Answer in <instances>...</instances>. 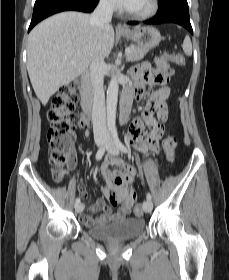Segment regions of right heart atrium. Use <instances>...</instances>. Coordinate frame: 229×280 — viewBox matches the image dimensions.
<instances>
[{"mask_svg": "<svg viewBox=\"0 0 229 280\" xmlns=\"http://www.w3.org/2000/svg\"><path fill=\"white\" fill-rule=\"evenodd\" d=\"M102 5L108 10H114L116 8L115 0H100Z\"/></svg>", "mask_w": 229, "mask_h": 280, "instance_id": "d8ad5b80", "label": "right heart atrium"}]
</instances>
